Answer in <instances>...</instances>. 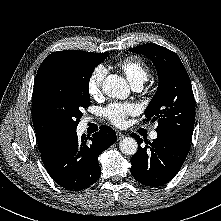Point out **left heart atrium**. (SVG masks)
Masks as SVG:
<instances>
[{
    "mask_svg": "<svg viewBox=\"0 0 221 221\" xmlns=\"http://www.w3.org/2000/svg\"><path fill=\"white\" fill-rule=\"evenodd\" d=\"M137 108L133 103H110L103 108L102 114L112 124L116 126H122L126 123L128 116L136 114Z\"/></svg>",
    "mask_w": 221,
    "mask_h": 221,
    "instance_id": "obj_1",
    "label": "left heart atrium"
}]
</instances>
